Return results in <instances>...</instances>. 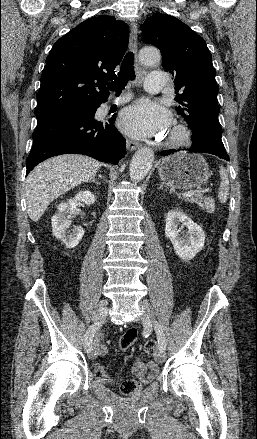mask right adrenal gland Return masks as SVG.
Listing matches in <instances>:
<instances>
[{
  "instance_id": "2a0ac1e0",
  "label": "right adrenal gland",
  "mask_w": 257,
  "mask_h": 439,
  "mask_svg": "<svg viewBox=\"0 0 257 439\" xmlns=\"http://www.w3.org/2000/svg\"><path fill=\"white\" fill-rule=\"evenodd\" d=\"M100 178H103L101 175H99ZM89 182H94L95 184L98 185V181L97 179L94 177L92 180H90Z\"/></svg>"
}]
</instances>
